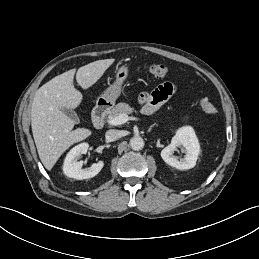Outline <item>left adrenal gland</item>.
I'll list each match as a JSON object with an SVG mask.
<instances>
[{
    "mask_svg": "<svg viewBox=\"0 0 259 259\" xmlns=\"http://www.w3.org/2000/svg\"><path fill=\"white\" fill-rule=\"evenodd\" d=\"M155 125H157V124H153V125L150 126V128L148 129V133L151 132L152 128H153Z\"/></svg>",
    "mask_w": 259,
    "mask_h": 259,
    "instance_id": "a2214340",
    "label": "left adrenal gland"
}]
</instances>
